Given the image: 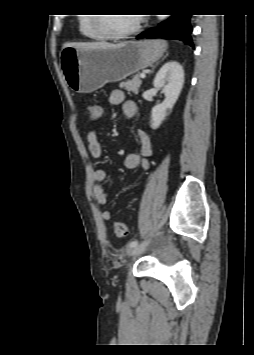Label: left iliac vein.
I'll return each instance as SVG.
<instances>
[{"instance_id":"left-iliac-vein-1","label":"left iliac vein","mask_w":254,"mask_h":355,"mask_svg":"<svg viewBox=\"0 0 254 355\" xmlns=\"http://www.w3.org/2000/svg\"><path fill=\"white\" fill-rule=\"evenodd\" d=\"M148 245H149V241H144L141 244L133 247L131 249V251H130V254L132 256H138V255H140L141 253H143L147 249Z\"/></svg>"}]
</instances>
